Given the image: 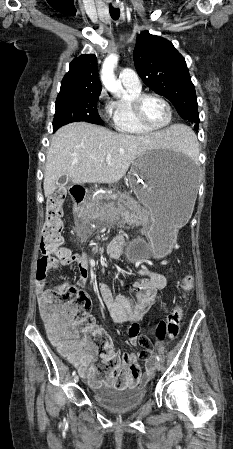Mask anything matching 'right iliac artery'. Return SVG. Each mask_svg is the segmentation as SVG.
Segmentation results:
<instances>
[{
  "label": "right iliac artery",
  "mask_w": 233,
  "mask_h": 449,
  "mask_svg": "<svg viewBox=\"0 0 233 449\" xmlns=\"http://www.w3.org/2000/svg\"><path fill=\"white\" fill-rule=\"evenodd\" d=\"M75 375H76V371H73L72 376H75Z\"/></svg>",
  "instance_id": "1"
}]
</instances>
